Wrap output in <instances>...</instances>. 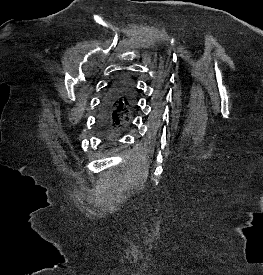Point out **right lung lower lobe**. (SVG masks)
<instances>
[{"instance_id": "obj_1", "label": "right lung lower lobe", "mask_w": 263, "mask_h": 275, "mask_svg": "<svg viewBox=\"0 0 263 275\" xmlns=\"http://www.w3.org/2000/svg\"><path fill=\"white\" fill-rule=\"evenodd\" d=\"M124 81H129L126 78H121L112 83L104 95L98 115L99 128L107 138H112L121 132L127 125L128 119L120 121L117 119L118 102L120 101L123 91L122 84Z\"/></svg>"}]
</instances>
